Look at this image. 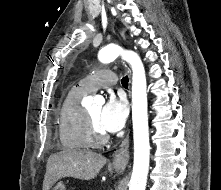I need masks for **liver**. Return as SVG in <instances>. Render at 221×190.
<instances>
[{"label": "liver", "mask_w": 221, "mask_h": 190, "mask_svg": "<svg viewBox=\"0 0 221 190\" xmlns=\"http://www.w3.org/2000/svg\"><path fill=\"white\" fill-rule=\"evenodd\" d=\"M106 161L103 155L86 150L65 149L54 153L47 160L43 190H50L59 179L65 177L93 179Z\"/></svg>", "instance_id": "liver-1"}]
</instances>
